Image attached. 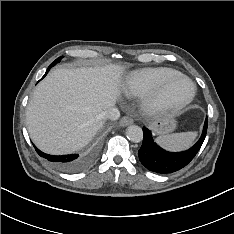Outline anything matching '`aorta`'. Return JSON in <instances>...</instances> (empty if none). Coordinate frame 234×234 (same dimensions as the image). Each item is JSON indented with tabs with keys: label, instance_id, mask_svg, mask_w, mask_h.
<instances>
[{
	"label": "aorta",
	"instance_id": "aorta-1",
	"mask_svg": "<svg viewBox=\"0 0 234 234\" xmlns=\"http://www.w3.org/2000/svg\"><path fill=\"white\" fill-rule=\"evenodd\" d=\"M126 135L127 138L134 143H139L143 140V131L137 125H130L127 127Z\"/></svg>",
	"mask_w": 234,
	"mask_h": 234
}]
</instances>
